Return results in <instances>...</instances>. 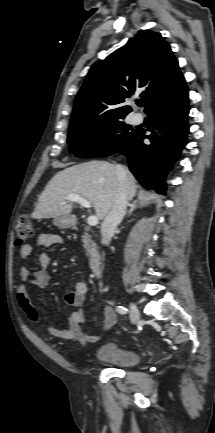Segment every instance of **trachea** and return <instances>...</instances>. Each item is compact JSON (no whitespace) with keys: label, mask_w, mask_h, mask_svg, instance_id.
Masks as SVG:
<instances>
[{"label":"trachea","mask_w":215,"mask_h":433,"mask_svg":"<svg viewBox=\"0 0 215 433\" xmlns=\"http://www.w3.org/2000/svg\"><path fill=\"white\" fill-rule=\"evenodd\" d=\"M136 104H137L138 106H142V101H141V100H138V101L136 102Z\"/></svg>","instance_id":"trachea-1"}]
</instances>
